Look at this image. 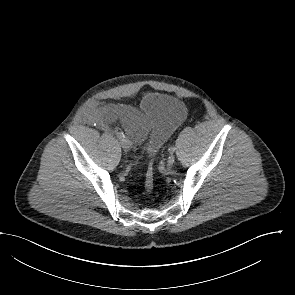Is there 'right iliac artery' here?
Wrapping results in <instances>:
<instances>
[{
  "mask_svg": "<svg viewBox=\"0 0 295 295\" xmlns=\"http://www.w3.org/2000/svg\"><path fill=\"white\" fill-rule=\"evenodd\" d=\"M117 137L120 139V140H124L125 136L122 132H118L117 133Z\"/></svg>",
  "mask_w": 295,
  "mask_h": 295,
  "instance_id": "obj_1",
  "label": "right iliac artery"
}]
</instances>
